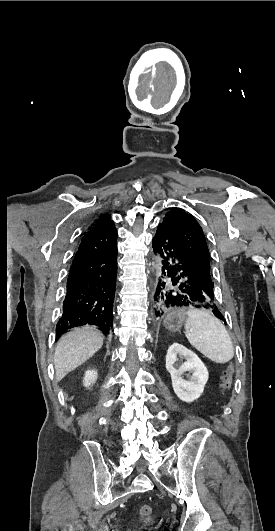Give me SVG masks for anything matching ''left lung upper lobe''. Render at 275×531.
Listing matches in <instances>:
<instances>
[{
  "instance_id": "1",
  "label": "left lung upper lobe",
  "mask_w": 275,
  "mask_h": 531,
  "mask_svg": "<svg viewBox=\"0 0 275 531\" xmlns=\"http://www.w3.org/2000/svg\"><path fill=\"white\" fill-rule=\"evenodd\" d=\"M162 224L172 232L186 256L189 268L200 286L210 295L214 283L210 276L209 250L198 222L180 208L171 209Z\"/></svg>"
}]
</instances>
